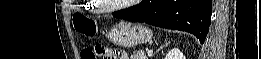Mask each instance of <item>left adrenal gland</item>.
<instances>
[{
  "label": "left adrenal gland",
  "instance_id": "left-adrenal-gland-1",
  "mask_svg": "<svg viewBox=\"0 0 261 59\" xmlns=\"http://www.w3.org/2000/svg\"><path fill=\"white\" fill-rule=\"evenodd\" d=\"M169 43H170L169 41H168V42H165V44L161 45V46L158 48V50H156V52H159L160 50H162L163 48H165L166 46H168Z\"/></svg>",
  "mask_w": 261,
  "mask_h": 59
}]
</instances>
